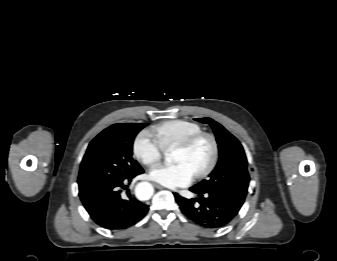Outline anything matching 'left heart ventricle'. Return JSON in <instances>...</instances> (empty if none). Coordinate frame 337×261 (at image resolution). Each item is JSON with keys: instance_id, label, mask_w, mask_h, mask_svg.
Returning <instances> with one entry per match:
<instances>
[{"instance_id": "obj_1", "label": "left heart ventricle", "mask_w": 337, "mask_h": 261, "mask_svg": "<svg viewBox=\"0 0 337 261\" xmlns=\"http://www.w3.org/2000/svg\"><path fill=\"white\" fill-rule=\"evenodd\" d=\"M211 157V143L209 140L203 139L188 151L175 150L173 162L185 164L195 174L208 165Z\"/></svg>"}]
</instances>
